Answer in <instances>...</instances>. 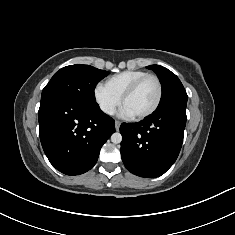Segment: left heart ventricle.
Here are the masks:
<instances>
[{
    "instance_id": "1",
    "label": "left heart ventricle",
    "mask_w": 235,
    "mask_h": 235,
    "mask_svg": "<svg viewBox=\"0 0 235 235\" xmlns=\"http://www.w3.org/2000/svg\"><path fill=\"white\" fill-rule=\"evenodd\" d=\"M157 96V83L154 79L149 78L140 85L133 95L125 100L123 106L126 107L132 115H138L149 110L156 102Z\"/></svg>"
}]
</instances>
